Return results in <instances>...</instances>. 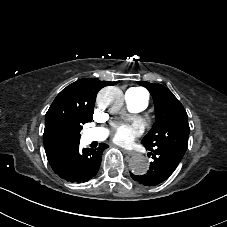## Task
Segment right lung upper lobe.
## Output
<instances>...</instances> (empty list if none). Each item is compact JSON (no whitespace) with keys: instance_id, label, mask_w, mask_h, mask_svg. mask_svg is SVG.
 Wrapping results in <instances>:
<instances>
[{"instance_id":"1","label":"right lung upper lobe","mask_w":227,"mask_h":227,"mask_svg":"<svg viewBox=\"0 0 227 227\" xmlns=\"http://www.w3.org/2000/svg\"><path fill=\"white\" fill-rule=\"evenodd\" d=\"M117 83L118 82L100 81L96 78H83L70 84L63 89L53 101L46 113L45 120L51 114L53 109L63 101L76 100L87 105H94L96 95L101 88L108 85H115ZM43 142L48 160L53 159L61 150L67 147L49 137L45 131Z\"/></svg>"}]
</instances>
